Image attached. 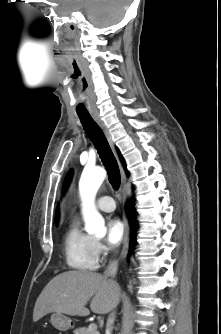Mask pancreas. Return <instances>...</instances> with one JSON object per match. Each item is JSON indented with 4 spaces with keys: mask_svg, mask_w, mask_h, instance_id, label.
I'll use <instances>...</instances> for the list:
<instances>
[{
    "mask_svg": "<svg viewBox=\"0 0 221 334\" xmlns=\"http://www.w3.org/2000/svg\"><path fill=\"white\" fill-rule=\"evenodd\" d=\"M74 334H99V332H98V331L90 332V331L88 330V328H86V327H81V328L75 329V330H74Z\"/></svg>",
    "mask_w": 221,
    "mask_h": 334,
    "instance_id": "cf45deb5",
    "label": "pancreas"
}]
</instances>
